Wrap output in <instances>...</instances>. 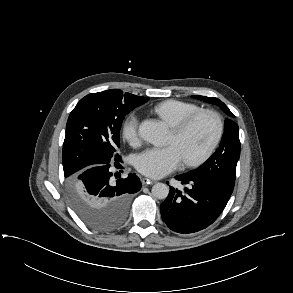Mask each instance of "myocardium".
<instances>
[{
    "label": "myocardium",
    "instance_id": "1",
    "mask_svg": "<svg viewBox=\"0 0 293 293\" xmlns=\"http://www.w3.org/2000/svg\"><path fill=\"white\" fill-rule=\"evenodd\" d=\"M203 116L211 117L215 122V132L209 142V144L199 154L184 158V163L187 166H196L204 162L218 146L223 133H224V122L220 114L214 110L201 109L188 117L184 118L177 124L171 127L172 132L176 136L183 135L199 118Z\"/></svg>",
    "mask_w": 293,
    "mask_h": 293
}]
</instances>
